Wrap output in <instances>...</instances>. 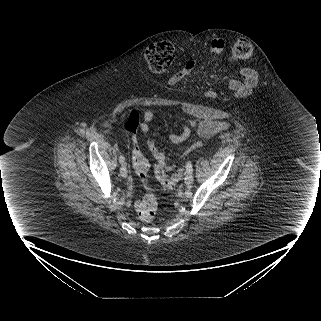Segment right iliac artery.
<instances>
[{"instance_id":"right-iliac-artery-1","label":"right iliac artery","mask_w":321,"mask_h":321,"mask_svg":"<svg viewBox=\"0 0 321 321\" xmlns=\"http://www.w3.org/2000/svg\"><path fill=\"white\" fill-rule=\"evenodd\" d=\"M124 161H125V158H124L123 156H120V157H119V162H120V163H124Z\"/></svg>"}]
</instances>
